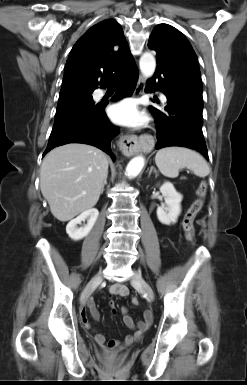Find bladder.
I'll list each match as a JSON object with an SVG mask.
<instances>
[{
  "instance_id": "obj_1",
  "label": "bladder",
  "mask_w": 247,
  "mask_h": 385,
  "mask_svg": "<svg viewBox=\"0 0 247 385\" xmlns=\"http://www.w3.org/2000/svg\"><path fill=\"white\" fill-rule=\"evenodd\" d=\"M125 356H120V358H118V359H123ZM102 358L103 359H106V358H108V356H106V355H102Z\"/></svg>"
}]
</instances>
